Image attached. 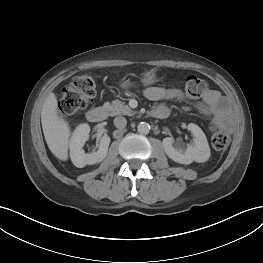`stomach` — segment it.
Segmentation results:
<instances>
[{
  "label": "stomach",
  "mask_w": 263,
  "mask_h": 263,
  "mask_svg": "<svg viewBox=\"0 0 263 263\" xmlns=\"http://www.w3.org/2000/svg\"><path fill=\"white\" fill-rule=\"evenodd\" d=\"M157 81V77L154 71L146 72L142 78V82L144 85H151ZM131 86L130 82L125 81L121 83L122 88H129Z\"/></svg>",
  "instance_id": "obj_1"
}]
</instances>
